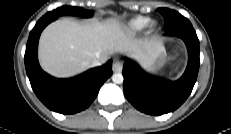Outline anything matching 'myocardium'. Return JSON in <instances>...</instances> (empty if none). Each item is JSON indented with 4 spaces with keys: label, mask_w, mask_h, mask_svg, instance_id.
Instances as JSON below:
<instances>
[{
    "label": "myocardium",
    "mask_w": 231,
    "mask_h": 134,
    "mask_svg": "<svg viewBox=\"0 0 231 134\" xmlns=\"http://www.w3.org/2000/svg\"><path fill=\"white\" fill-rule=\"evenodd\" d=\"M147 27H148V30H149L150 32H153V31H155V30L157 29V24H156V22L151 21V22H149V23L147 24Z\"/></svg>",
    "instance_id": "1"
}]
</instances>
